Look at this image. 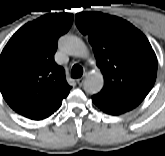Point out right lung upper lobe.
<instances>
[{
  "instance_id": "obj_1",
  "label": "right lung upper lobe",
  "mask_w": 165,
  "mask_h": 156,
  "mask_svg": "<svg viewBox=\"0 0 165 156\" xmlns=\"http://www.w3.org/2000/svg\"><path fill=\"white\" fill-rule=\"evenodd\" d=\"M71 14H50L19 29L0 55V92L17 113L42 120L56 112L71 87L54 61L57 40L71 27Z\"/></svg>"
}]
</instances>
